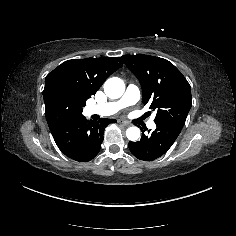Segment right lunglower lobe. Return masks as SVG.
Here are the masks:
<instances>
[{
    "label": "right lung lower lobe",
    "mask_w": 236,
    "mask_h": 236,
    "mask_svg": "<svg viewBox=\"0 0 236 236\" xmlns=\"http://www.w3.org/2000/svg\"><path fill=\"white\" fill-rule=\"evenodd\" d=\"M113 122L116 120L88 121L81 114L49 128L64 155L75 161L87 162L98 154L104 139V128Z\"/></svg>",
    "instance_id": "98d812e1"
}]
</instances>
